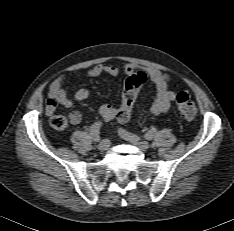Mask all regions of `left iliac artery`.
<instances>
[{
	"label": "left iliac artery",
	"mask_w": 234,
	"mask_h": 231,
	"mask_svg": "<svg viewBox=\"0 0 234 231\" xmlns=\"http://www.w3.org/2000/svg\"><path fill=\"white\" fill-rule=\"evenodd\" d=\"M156 133H157V129H156V128H151V129L144 135V137H145V139H147V140H151V139L154 137V135H155ZM119 135H120L121 137H123L124 139L129 140V141L137 138V136H135V135H133V134L127 132V131L124 130V129H119Z\"/></svg>",
	"instance_id": "obj_1"
}]
</instances>
